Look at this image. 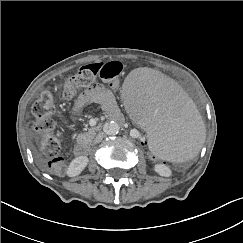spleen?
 Returning <instances> with one entry per match:
<instances>
[{
	"mask_svg": "<svg viewBox=\"0 0 243 243\" xmlns=\"http://www.w3.org/2000/svg\"><path fill=\"white\" fill-rule=\"evenodd\" d=\"M121 91L136 124L158 154L178 164L197 155L205 140V126L177 82L143 68L127 75Z\"/></svg>",
	"mask_w": 243,
	"mask_h": 243,
	"instance_id": "1",
	"label": "spleen"
}]
</instances>
